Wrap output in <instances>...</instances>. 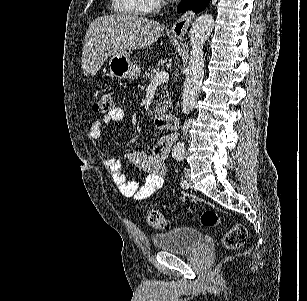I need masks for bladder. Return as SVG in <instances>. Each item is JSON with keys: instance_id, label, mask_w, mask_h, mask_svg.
Instances as JSON below:
<instances>
[{"instance_id": "bladder-1", "label": "bladder", "mask_w": 307, "mask_h": 301, "mask_svg": "<svg viewBox=\"0 0 307 301\" xmlns=\"http://www.w3.org/2000/svg\"><path fill=\"white\" fill-rule=\"evenodd\" d=\"M152 241L158 250L185 253L196 250L204 241V236L196 228L181 227L152 236Z\"/></svg>"}]
</instances>
